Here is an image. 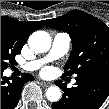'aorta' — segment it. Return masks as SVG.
<instances>
[{"instance_id":"1","label":"aorta","mask_w":109,"mask_h":109,"mask_svg":"<svg viewBox=\"0 0 109 109\" xmlns=\"http://www.w3.org/2000/svg\"><path fill=\"white\" fill-rule=\"evenodd\" d=\"M29 47L36 53L47 52L51 47V37L45 31H35L28 39ZM46 97L51 102H57L61 98V90L57 86H51L46 91Z\"/></svg>"}]
</instances>
